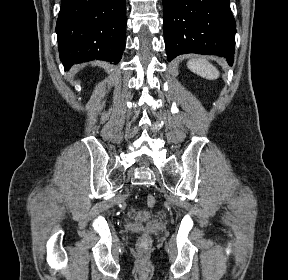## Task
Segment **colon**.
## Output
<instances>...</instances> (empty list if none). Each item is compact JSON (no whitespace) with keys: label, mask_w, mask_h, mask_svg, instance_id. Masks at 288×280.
<instances>
[{"label":"colon","mask_w":288,"mask_h":280,"mask_svg":"<svg viewBox=\"0 0 288 280\" xmlns=\"http://www.w3.org/2000/svg\"><path fill=\"white\" fill-rule=\"evenodd\" d=\"M146 204L148 207L152 208L156 204L155 196L152 194H149L146 196ZM149 244V238L147 236H143L140 240V247L146 248Z\"/></svg>","instance_id":"1"}]
</instances>
